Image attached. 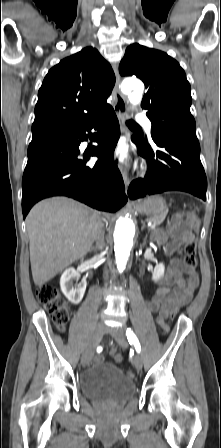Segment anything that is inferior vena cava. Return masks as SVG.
Returning <instances> with one entry per match:
<instances>
[{"label":"inferior vena cava","instance_id":"1","mask_svg":"<svg viewBox=\"0 0 221 448\" xmlns=\"http://www.w3.org/2000/svg\"><path fill=\"white\" fill-rule=\"evenodd\" d=\"M103 227H104V225L100 221L99 227H98V231H97V235L95 237L96 247L99 250L102 249L103 245H104V229H103Z\"/></svg>","mask_w":221,"mask_h":448}]
</instances>
